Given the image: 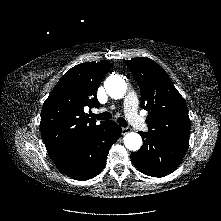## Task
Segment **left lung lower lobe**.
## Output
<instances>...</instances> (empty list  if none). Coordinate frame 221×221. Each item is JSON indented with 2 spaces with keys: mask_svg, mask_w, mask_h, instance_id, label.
Here are the masks:
<instances>
[{
  "mask_svg": "<svg viewBox=\"0 0 221 221\" xmlns=\"http://www.w3.org/2000/svg\"><path fill=\"white\" fill-rule=\"evenodd\" d=\"M143 146L131 154L134 166L144 174L152 177H164L174 171L182 161L186 147L164 139L139 132Z\"/></svg>",
  "mask_w": 221,
  "mask_h": 221,
  "instance_id": "1",
  "label": "left lung lower lobe"
}]
</instances>
